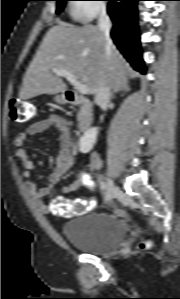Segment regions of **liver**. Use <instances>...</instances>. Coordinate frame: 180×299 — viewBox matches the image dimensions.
Here are the masks:
<instances>
[{
    "instance_id": "obj_1",
    "label": "liver",
    "mask_w": 180,
    "mask_h": 299,
    "mask_svg": "<svg viewBox=\"0 0 180 299\" xmlns=\"http://www.w3.org/2000/svg\"><path fill=\"white\" fill-rule=\"evenodd\" d=\"M52 68L71 72L88 87L90 95L96 94L101 81L114 91L123 90L130 71L116 47L107 45L99 27H76L63 22H58L43 38L26 70L20 98L65 93L67 85Z\"/></svg>"
}]
</instances>
